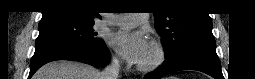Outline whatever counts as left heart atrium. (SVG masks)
I'll list each match as a JSON object with an SVG mask.
<instances>
[{"mask_svg":"<svg viewBox=\"0 0 255 79\" xmlns=\"http://www.w3.org/2000/svg\"><path fill=\"white\" fill-rule=\"evenodd\" d=\"M113 43L131 63H140L149 48L146 37L138 31H119L114 34Z\"/></svg>","mask_w":255,"mask_h":79,"instance_id":"left-heart-atrium-1","label":"left heart atrium"}]
</instances>
